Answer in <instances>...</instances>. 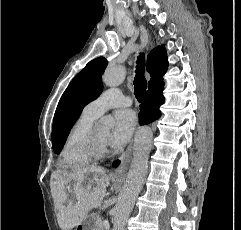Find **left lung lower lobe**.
Instances as JSON below:
<instances>
[{
  "mask_svg": "<svg viewBox=\"0 0 241 230\" xmlns=\"http://www.w3.org/2000/svg\"><path fill=\"white\" fill-rule=\"evenodd\" d=\"M120 161L113 162V167H117L119 165Z\"/></svg>",
  "mask_w": 241,
  "mask_h": 230,
  "instance_id": "obj_1",
  "label": "left lung lower lobe"
}]
</instances>
